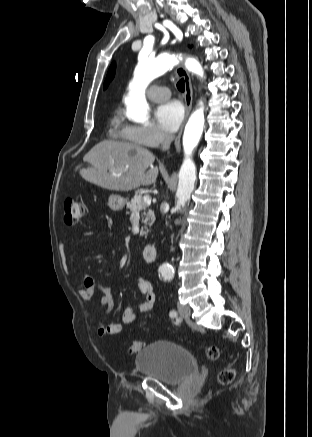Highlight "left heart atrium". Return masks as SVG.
<instances>
[{"label": "left heart atrium", "instance_id": "39dd6f15", "mask_svg": "<svg viewBox=\"0 0 312 437\" xmlns=\"http://www.w3.org/2000/svg\"><path fill=\"white\" fill-rule=\"evenodd\" d=\"M183 116V107L177 101L166 102L156 110V119L159 126L168 133H174L179 128Z\"/></svg>", "mask_w": 312, "mask_h": 437}]
</instances>
